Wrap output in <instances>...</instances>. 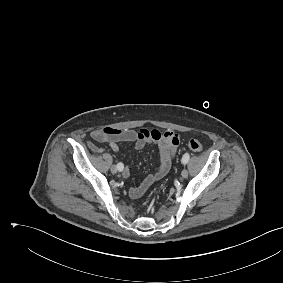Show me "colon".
<instances>
[{"instance_id": "1", "label": "colon", "mask_w": 283, "mask_h": 283, "mask_svg": "<svg viewBox=\"0 0 283 283\" xmlns=\"http://www.w3.org/2000/svg\"><path fill=\"white\" fill-rule=\"evenodd\" d=\"M188 147L195 152H200L203 150V145L196 139L189 140Z\"/></svg>"}]
</instances>
